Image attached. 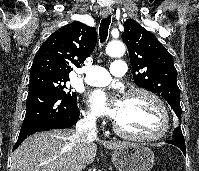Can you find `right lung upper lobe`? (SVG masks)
Returning a JSON list of instances; mask_svg holds the SVG:
<instances>
[{"instance_id": "right-lung-upper-lobe-1", "label": "right lung upper lobe", "mask_w": 199, "mask_h": 171, "mask_svg": "<svg viewBox=\"0 0 199 171\" xmlns=\"http://www.w3.org/2000/svg\"><path fill=\"white\" fill-rule=\"evenodd\" d=\"M97 42L96 29L73 22L54 32L37 51L30 76L49 74L69 78L73 67L92 53Z\"/></svg>"}]
</instances>
